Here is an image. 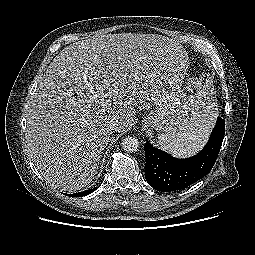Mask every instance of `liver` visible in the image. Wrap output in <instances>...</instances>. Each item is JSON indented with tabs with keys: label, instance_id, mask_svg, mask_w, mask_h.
Returning a JSON list of instances; mask_svg holds the SVG:
<instances>
[{
	"label": "liver",
	"instance_id": "1",
	"mask_svg": "<svg viewBox=\"0 0 255 255\" xmlns=\"http://www.w3.org/2000/svg\"><path fill=\"white\" fill-rule=\"evenodd\" d=\"M189 59L176 40L118 33L65 47L51 62L27 114L32 161L52 187L74 192L94 179L119 121L130 127L136 109L158 105L186 74Z\"/></svg>",
	"mask_w": 255,
	"mask_h": 255
}]
</instances>
